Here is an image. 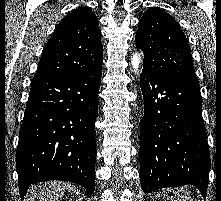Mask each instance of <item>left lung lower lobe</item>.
Wrapping results in <instances>:
<instances>
[{
	"instance_id": "0a47b994",
	"label": "left lung lower lobe",
	"mask_w": 221,
	"mask_h": 201,
	"mask_svg": "<svg viewBox=\"0 0 221 201\" xmlns=\"http://www.w3.org/2000/svg\"><path fill=\"white\" fill-rule=\"evenodd\" d=\"M144 99L139 149L145 193L185 184L206 197L210 154L199 86L142 70Z\"/></svg>"
}]
</instances>
